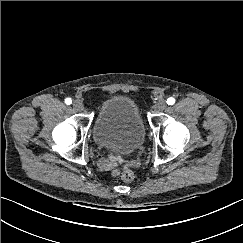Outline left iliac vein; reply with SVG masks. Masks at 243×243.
I'll return each instance as SVG.
<instances>
[{"label":"left iliac vein","mask_w":243,"mask_h":243,"mask_svg":"<svg viewBox=\"0 0 243 243\" xmlns=\"http://www.w3.org/2000/svg\"><path fill=\"white\" fill-rule=\"evenodd\" d=\"M166 107H167V103H166V101L164 99L159 100L158 103L156 104V108L159 111L164 110Z\"/></svg>","instance_id":"1"}]
</instances>
